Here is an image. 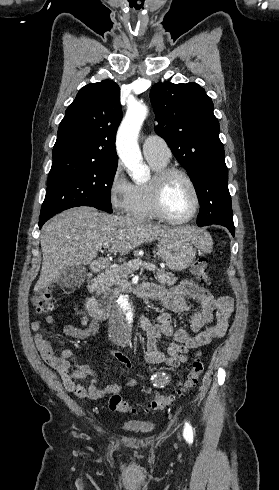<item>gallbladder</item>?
Returning <instances> with one entry per match:
<instances>
[{"instance_id": "gallbladder-1", "label": "gallbladder", "mask_w": 279, "mask_h": 490, "mask_svg": "<svg viewBox=\"0 0 279 490\" xmlns=\"http://www.w3.org/2000/svg\"><path fill=\"white\" fill-rule=\"evenodd\" d=\"M87 276L85 266H68L56 280L61 288H80Z\"/></svg>"}]
</instances>
